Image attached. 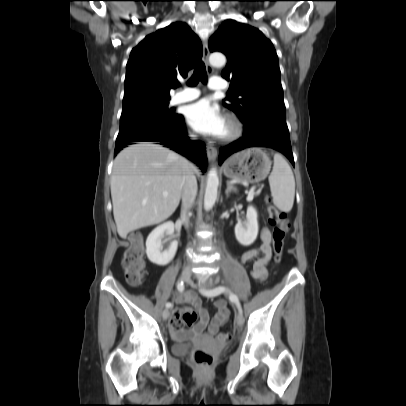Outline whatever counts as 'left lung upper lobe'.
I'll return each instance as SVG.
<instances>
[{"mask_svg":"<svg viewBox=\"0 0 406 406\" xmlns=\"http://www.w3.org/2000/svg\"><path fill=\"white\" fill-rule=\"evenodd\" d=\"M209 49L220 51L228 58L221 75L231 80L229 91L238 98H226L225 107L233 110L243 123L256 117L285 120L278 57L273 44L261 31L226 20L211 36Z\"/></svg>","mask_w":406,"mask_h":406,"instance_id":"left-lung-upper-lobe-1","label":"left lung upper lobe"}]
</instances>
